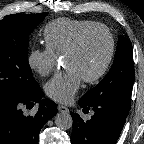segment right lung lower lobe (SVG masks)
Returning a JSON list of instances; mask_svg holds the SVG:
<instances>
[{"label":"right lung lower lobe","mask_w":144,"mask_h":144,"mask_svg":"<svg viewBox=\"0 0 144 144\" xmlns=\"http://www.w3.org/2000/svg\"><path fill=\"white\" fill-rule=\"evenodd\" d=\"M41 89L20 99L0 101V144H38L39 132L57 113L56 104L42 100ZM39 104L34 116H27L24 108Z\"/></svg>","instance_id":"1"}]
</instances>
